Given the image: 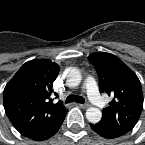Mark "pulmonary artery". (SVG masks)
<instances>
[{
	"mask_svg": "<svg viewBox=\"0 0 145 145\" xmlns=\"http://www.w3.org/2000/svg\"><path fill=\"white\" fill-rule=\"evenodd\" d=\"M85 87L88 98L92 103H94L97 107H101L105 104L104 99L99 94L96 81L92 76L86 78Z\"/></svg>",
	"mask_w": 145,
	"mask_h": 145,
	"instance_id": "e3ab8cb5",
	"label": "pulmonary artery"
}]
</instances>
